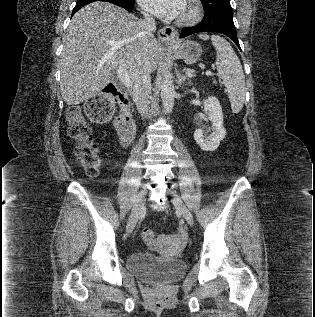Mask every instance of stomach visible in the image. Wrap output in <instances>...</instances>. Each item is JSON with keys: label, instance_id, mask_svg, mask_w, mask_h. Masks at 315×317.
I'll return each mask as SVG.
<instances>
[{"label": "stomach", "instance_id": "1", "mask_svg": "<svg viewBox=\"0 0 315 317\" xmlns=\"http://www.w3.org/2000/svg\"><path fill=\"white\" fill-rule=\"evenodd\" d=\"M165 45L175 58L184 60L187 64H193L199 60L202 47L199 43L191 40H180L166 42Z\"/></svg>", "mask_w": 315, "mask_h": 317}]
</instances>
